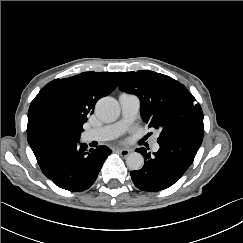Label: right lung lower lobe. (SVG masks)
<instances>
[{
	"label": "right lung lower lobe",
	"mask_w": 243,
	"mask_h": 243,
	"mask_svg": "<svg viewBox=\"0 0 243 243\" xmlns=\"http://www.w3.org/2000/svg\"><path fill=\"white\" fill-rule=\"evenodd\" d=\"M28 142L42 172L58 187L69 191L88 189L110 155L104 146L86 152L87 145L52 130L28 134Z\"/></svg>",
	"instance_id": "98d812e1"
}]
</instances>
